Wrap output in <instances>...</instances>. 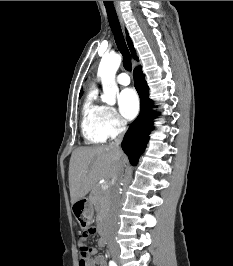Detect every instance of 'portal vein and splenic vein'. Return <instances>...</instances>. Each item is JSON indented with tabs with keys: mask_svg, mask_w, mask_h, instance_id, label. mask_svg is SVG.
Returning a JSON list of instances; mask_svg holds the SVG:
<instances>
[{
	"mask_svg": "<svg viewBox=\"0 0 233 266\" xmlns=\"http://www.w3.org/2000/svg\"><path fill=\"white\" fill-rule=\"evenodd\" d=\"M109 185H108V182H104L102 185H101V188L106 190L108 189Z\"/></svg>",
	"mask_w": 233,
	"mask_h": 266,
	"instance_id": "portal-vein-and-splenic-vein-1",
	"label": "portal vein and splenic vein"
}]
</instances>
